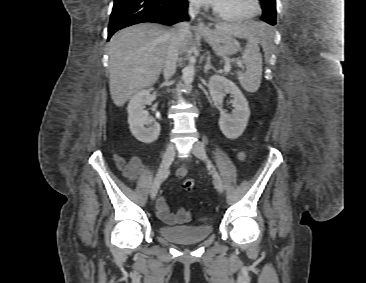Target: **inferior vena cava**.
Instances as JSON below:
<instances>
[{
  "instance_id": "inferior-vena-cava-1",
  "label": "inferior vena cava",
  "mask_w": 366,
  "mask_h": 283,
  "mask_svg": "<svg viewBox=\"0 0 366 283\" xmlns=\"http://www.w3.org/2000/svg\"><path fill=\"white\" fill-rule=\"evenodd\" d=\"M199 4L195 0H190L188 13L191 19L199 13ZM190 25L189 22H180L170 32L169 47L163 63V74L166 82L174 75L177 67V62L180 55V49L182 42L189 33Z\"/></svg>"
}]
</instances>
